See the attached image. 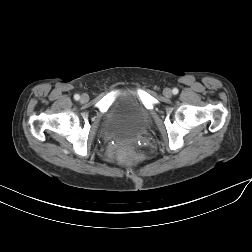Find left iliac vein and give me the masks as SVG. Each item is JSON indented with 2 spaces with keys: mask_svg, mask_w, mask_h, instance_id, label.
<instances>
[{
  "mask_svg": "<svg viewBox=\"0 0 252 252\" xmlns=\"http://www.w3.org/2000/svg\"><path fill=\"white\" fill-rule=\"evenodd\" d=\"M163 94H164V96L165 97H171L172 96V90L170 89V88H165L164 90H163Z\"/></svg>",
  "mask_w": 252,
  "mask_h": 252,
  "instance_id": "left-iliac-vein-1",
  "label": "left iliac vein"
}]
</instances>
